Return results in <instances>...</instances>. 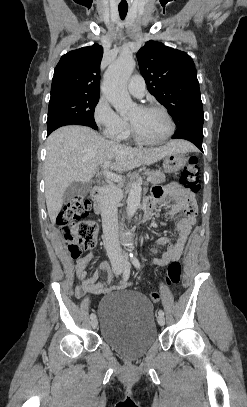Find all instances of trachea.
<instances>
[{
    "label": "trachea",
    "instance_id": "obj_1",
    "mask_svg": "<svg viewBox=\"0 0 247 407\" xmlns=\"http://www.w3.org/2000/svg\"><path fill=\"white\" fill-rule=\"evenodd\" d=\"M128 12V6H119V15L122 20L125 19Z\"/></svg>",
    "mask_w": 247,
    "mask_h": 407
}]
</instances>
